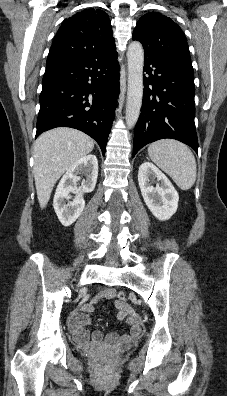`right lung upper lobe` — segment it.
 Wrapping results in <instances>:
<instances>
[{
    "label": "right lung upper lobe",
    "instance_id": "cb5924a9",
    "mask_svg": "<svg viewBox=\"0 0 227 396\" xmlns=\"http://www.w3.org/2000/svg\"><path fill=\"white\" fill-rule=\"evenodd\" d=\"M115 47L111 22L100 9H87L65 19L50 48L46 66L91 56Z\"/></svg>",
    "mask_w": 227,
    "mask_h": 396
}]
</instances>
